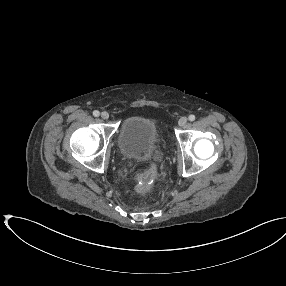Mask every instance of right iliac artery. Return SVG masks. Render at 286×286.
I'll return each instance as SVG.
<instances>
[{
    "label": "right iliac artery",
    "instance_id": "1",
    "mask_svg": "<svg viewBox=\"0 0 286 286\" xmlns=\"http://www.w3.org/2000/svg\"><path fill=\"white\" fill-rule=\"evenodd\" d=\"M93 115H94L95 117H98V116L100 115V113H99V111L95 110V111L93 112Z\"/></svg>",
    "mask_w": 286,
    "mask_h": 286
}]
</instances>
